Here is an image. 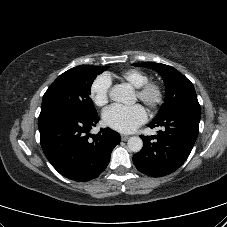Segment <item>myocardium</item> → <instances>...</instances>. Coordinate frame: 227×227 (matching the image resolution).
Returning a JSON list of instances; mask_svg holds the SVG:
<instances>
[{"label": "myocardium", "mask_w": 227, "mask_h": 227, "mask_svg": "<svg viewBox=\"0 0 227 227\" xmlns=\"http://www.w3.org/2000/svg\"><path fill=\"white\" fill-rule=\"evenodd\" d=\"M136 93L138 99L150 109L160 107L165 98L163 87L159 83L152 81H148L138 87Z\"/></svg>", "instance_id": "1"}]
</instances>
